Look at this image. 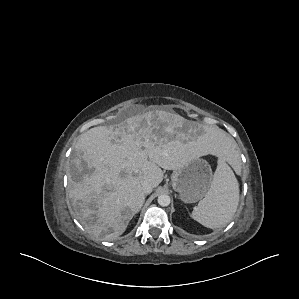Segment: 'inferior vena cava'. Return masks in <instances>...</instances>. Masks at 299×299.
<instances>
[{
  "label": "inferior vena cava",
  "mask_w": 299,
  "mask_h": 299,
  "mask_svg": "<svg viewBox=\"0 0 299 299\" xmlns=\"http://www.w3.org/2000/svg\"><path fill=\"white\" fill-rule=\"evenodd\" d=\"M141 186H142V190L145 194H149L152 192L153 187L148 181H146V180L142 181Z\"/></svg>",
  "instance_id": "602c4592"
}]
</instances>
